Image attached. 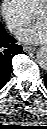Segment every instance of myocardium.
<instances>
[{
    "label": "myocardium",
    "mask_w": 47,
    "mask_h": 129,
    "mask_svg": "<svg viewBox=\"0 0 47 129\" xmlns=\"http://www.w3.org/2000/svg\"><path fill=\"white\" fill-rule=\"evenodd\" d=\"M44 12L47 14V0H45L41 5H39L33 12V15Z\"/></svg>",
    "instance_id": "obj_1"
}]
</instances>
